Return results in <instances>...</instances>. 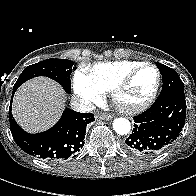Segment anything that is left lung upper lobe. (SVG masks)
<instances>
[{"label": "left lung upper lobe", "mask_w": 196, "mask_h": 196, "mask_svg": "<svg viewBox=\"0 0 196 196\" xmlns=\"http://www.w3.org/2000/svg\"><path fill=\"white\" fill-rule=\"evenodd\" d=\"M156 66L159 68L160 73L163 78L166 76V79H163V86L158 99H163L167 97H184V85L178 74L172 68H169L161 63L156 62Z\"/></svg>", "instance_id": "obj_1"}]
</instances>
